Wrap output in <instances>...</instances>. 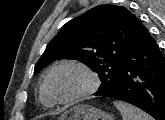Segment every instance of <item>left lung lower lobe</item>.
Listing matches in <instances>:
<instances>
[{
	"instance_id": "1",
	"label": "left lung lower lobe",
	"mask_w": 165,
	"mask_h": 120,
	"mask_svg": "<svg viewBox=\"0 0 165 120\" xmlns=\"http://www.w3.org/2000/svg\"><path fill=\"white\" fill-rule=\"evenodd\" d=\"M104 96L165 120V58L147 29L127 52L119 85Z\"/></svg>"
}]
</instances>
